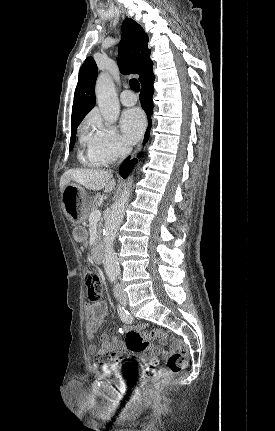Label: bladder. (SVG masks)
<instances>
[{
  "label": "bladder",
  "mask_w": 275,
  "mask_h": 431,
  "mask_svg": "<svg viewBox=\"0 0 275 431\" xmlns=\"http://www.w3.org/2000/svg\"><path fill=\"white\" fill-rule=\"evenodd\" d=\"M132 372L131 364L118 363L111 364L100 373L101 376H112L122 382H127V374Z\"/></svg>",
  "instance_id": "31cf9c89"
}]
</instances>
